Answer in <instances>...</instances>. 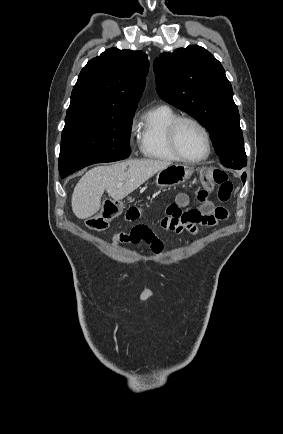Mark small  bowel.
Wrapping results in <instances>:
<instances>
[{"label": "small bowel", "instance_id": "obj_1", "mask_svg": "<svg viewBox=\"0 0 283 434\" xmlns=\"http://www.w3.org/2000/svg\"><path fill=\"white\" fill-rule=\"evenodd\" d=\"M197 201L199 204L197 208L183 210L189 204V196L185 193L178 194L174 203L168 205L166 209V217L162 221L163 229L178 234L188 232L194 235L199 226L214 227L228 217L225 208L214 207L207 200L205 190L198 192ZM142 215L143 209L140 206H131L128 208L125 218L127 221H136ZM113 242H147L155 254L161 253L163 249L162 241L145 225H136L129 231L120 232L114 236Z\"/></svg>", "mask_w": 283, "mask_h": 434}]
</instances>
